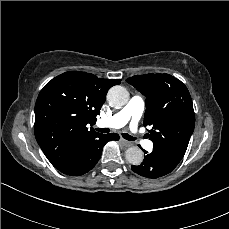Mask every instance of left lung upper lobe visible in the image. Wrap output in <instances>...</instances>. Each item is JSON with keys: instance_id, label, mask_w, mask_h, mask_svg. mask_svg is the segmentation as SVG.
<instances>
[{"instance_id": "5c2ea615", "label": "left lung upper lobe", "mask_w": 229, "mask_h": 229, "mask_svg": "<svg viewBox=\"0 0 229 229\" xmlns=\"http://www.w3.org/2000/svg\"><path fill=\"white\" fill-rule=\"evenodd\" d=\"M146 97L144 126H151L152 156L173 170L183 158L195 127L192 99L184 83L169 74L127 79Z\"/></svg>"}]
</instances>
